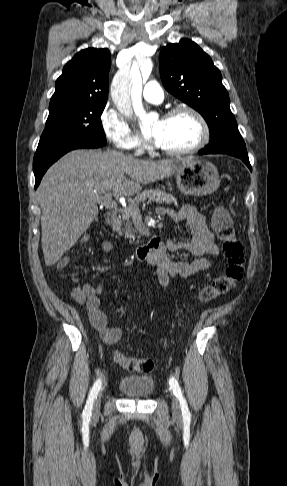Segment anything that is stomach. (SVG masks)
Here are the masks:
<instances>
[{
    "label": "stomach",
    "instance_id": "obj_1",
    "mask_svg": "<svg viewBox=\"0 0 287 486\" xmlns=\"http://www.w3.org/2000/svg\"><path fill=\"white\" fill-rule=\"evenodd\" d=\"M178 189L185 195L204 196L213 193L220 185L219 173L214 164L191 158L175 175Z\"/></svg>",
    "mask_w": 287,
    "mask_h": 486
}]
</instances>
